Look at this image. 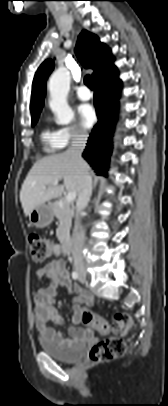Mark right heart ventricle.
<instances>
[{
    "label": "right heart ventricle",
    "mask_w": 168,
    "mask_h": 406,
    "mask_svg": "<svg viewBox=\"0 0 168 406\" xmlns=\"http://www.w3.org/2000/svg\"><path fill=\"white\" fill-rule=\"evenodd\" d=\"M41 141L44 145L45 151L50 153L59 151L65 147L59 136V132L47 125L41 132Z\"/></svg>",
    "instance_id": "right-heart-ventricle-1"
}]
</instances>
